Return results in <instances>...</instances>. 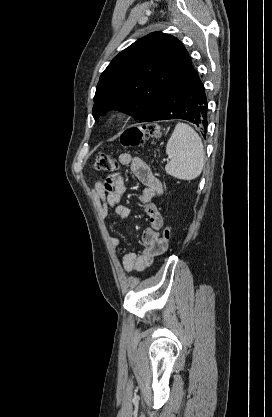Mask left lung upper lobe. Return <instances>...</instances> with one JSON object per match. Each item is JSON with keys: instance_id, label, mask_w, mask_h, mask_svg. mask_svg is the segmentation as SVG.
Returning a JSON list of instances; mask_svg holds the SVG:
<instances>
[{"instance_id": "left-lung-upper-lobe-1", "label": "left lung upper lobe", "mask_w": 272, "mask_h": 417, "mask_svg": "<svg viewBox=\"0 0 272 417\" xmlns=\"http://www.w3.org/2000/svg\"><path fill=\"white\" fill-rule=\"evenodd\" d=\"M189 63L187 50L174 36L154 32L138 39L101 74L94 96V118L114 109L141 122Z\"/></svg>"}]
</instances>
